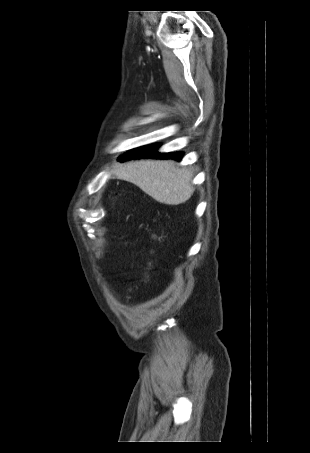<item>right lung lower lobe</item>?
Here are the masks:
<instances>
[{
	"label": "right lung lower lobe",
	"instance_id": "98d812e1",
	"mask_svg": "<svg viewBox=\"0 0 310 453\" xmlns=\"http://www.w3.org/2000/svg\"><path fill=\"white\" fill-rule=\"evenodd\" d=\"M158 144L146 146V147H140L137 149H133L129 151L128 153L124 154L122 157L119 158L120 161H125L129 160L132 158H146V157H156V158H172L176 160H181L183 153L177 152V153H157V148Z\"/></svg>",
	"mask_w": 310,
	"mask_h": 453
}]
</instances>
